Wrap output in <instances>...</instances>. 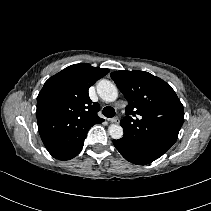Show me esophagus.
<instances>
[{
  "instance_id": "1",
  "label": "esophagus",
  "mask_w": 211,
  "mask_h": 211,
  "mask_svg": "<svg viewBox=\"0 0 211 211\" xmlns=\"http://www.w3.org/2000/svg\"><path fill=\"white\" fill-rule=\"evenodd\" d=\"M111 123H118L119 122V119L118 117H114V118H110L108 119Z\"/></svg>"
}]
</instances>
